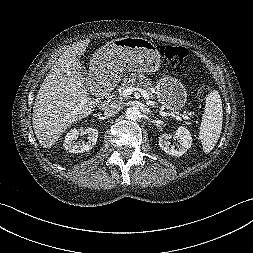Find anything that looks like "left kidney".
I'll list each match as a JSON object with an SVG mask.
<instances>
[{
    "label": "left kidney",
    "instance_id": "left-kidney-1",
    "mask_svg": "<svg viewBox=\"0 0 253 253\" xmlns=\"http://www.w3.org/2000/svg\"><path fill=\"white\" fill-rule=\"evenodd\" d=\"M172 137L176 138L180 143L177 148L174 145H170L169 139ZM192 145V137L188 129L184 126H180L174 133L172 134H163L159 138V146L160 148L167 154L172 156H182L184 153Z\"/></svg>",
    "mask_w": 253,
    "mask_h": 253
}]
</instances>
